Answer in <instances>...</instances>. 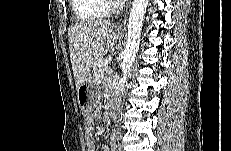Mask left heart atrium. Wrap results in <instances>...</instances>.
<instances>
[{
  "label": "left heart atrium",
  "mask_w": 231,
  "mask_h": 151,
  "mask_svg": "<svg viewBox=\"0 0 231 151\" xmlns=\"http://www.w3.org/2000/svg\"><path fill=\"white\" fill-rule=\"evenodd\" d=\"M117 2H118V3H124V2H126V1H124V0H118Z\"/></svg>",
  "instance_id": "left-heart-atrium-1"
}]
</instances>
